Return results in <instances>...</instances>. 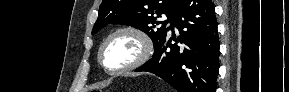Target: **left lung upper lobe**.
Returning a JSON list of instances; mask_svg holds the SVG:
<instances>
[{"instance_id":"1","label":"left lung upper lobe","mask_w":289,"mask_h":92,"mask_svg":"<svg viewBox=\"0 0 289 92\" xmlns=\"http://www.w3.org/2000/svg\"><path fill=\"white\" fill-rule=\"evenodd\" d=\"M181 0H103L99 7V16L92 29L97 33L108 24H124L138 28L149 35L155 51L166 37V25ZM166 14L168 20L156 21ZM162 24L158 28V25ZM154 51V52H155Z\"/></svg>"}]
</instances>
